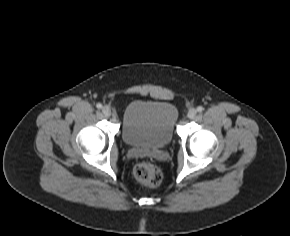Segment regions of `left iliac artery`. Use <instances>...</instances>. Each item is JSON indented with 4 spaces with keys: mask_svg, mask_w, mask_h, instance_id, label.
I'll return each instance as SVG.
<instances>
[{
    "mask_svg": "<svg viewBox=\"0 0 290 236\" xmlns=\"http://www.w3.org/2000/svg\"><path fill=\"white\" fill-rule=\"evenodd\" d=\"M203 110H204V108L202 106L197 107L198 112H202Z\"/></svg>",
    "mask_w": 290,
    "mask_h": 236,
    "instance_id": "obj_1",
    "label": "left iliac artery"
}]
</instances>
